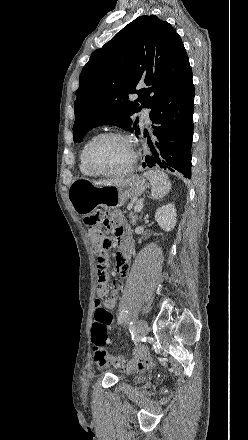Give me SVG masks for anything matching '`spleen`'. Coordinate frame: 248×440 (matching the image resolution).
<instances>
[{
  "instance_id": "1",
  "label": "spleen",
  "mask_w": 248,
  "mask_h": 440,
  "mask_svg": "<svg viewBox=\"0 0 248 440\" xmlns=\"http://www.w3.org/2000/svg\"><path fill=\"white\" fill-rule=\"evenodd\" d=\"M144 177H146L151 185V196L153 199L163 198L171 189V183L168 179V175L160 170H150L144 172Z\"/></svg>"
}]
</instances>
